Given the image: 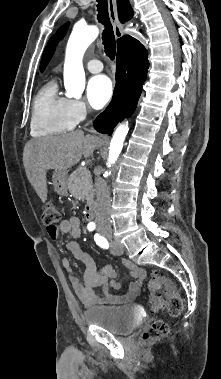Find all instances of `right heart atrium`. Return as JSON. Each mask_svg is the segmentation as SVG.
Returning a JSON list of instances; mask_svg holds the SVG:
<instances>
[{
	"label": "right heart atrium",
	"mask_w": 221,
	"mask_h": 379,
	"mask_svg": "<svg viewBox=\"0 0 221 379\" xmlns=\"http://www.w3.org/2000/svg\"><path fill=\"white\" fill-rule=\"evenodd\" d=\"M68 103L70 112L76 123L82 121L88 114V107L83 101L76 99H68Z\"/></svg>",
	"instance_id": "right-heart-atrium-1"
}]
</instances>
